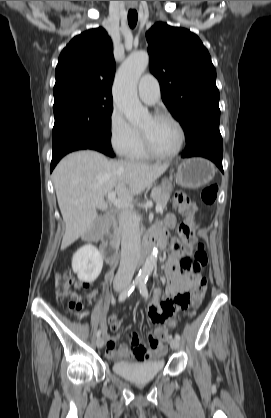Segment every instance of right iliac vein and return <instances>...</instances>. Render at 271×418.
<instances>
[{
    "instance_id": "right-iliac-vein-1",
    "label": "right iliac vein",
    "mask_w": 271,
    "mask_h": 418,
    "mask_svg": "<svg viewBox=\"0 0 271 418\" xmlns=\"http://www.w3.org/2000/svg\"><path fill=\"white\" fill-rule=\"evenodd\" d=\"M116 291H121L123 289L122 286H117L115 287ZM96 345L98 348H102L104 346V338L103 337H98L96 340Z\"/></svg>"
}]
</instances>
